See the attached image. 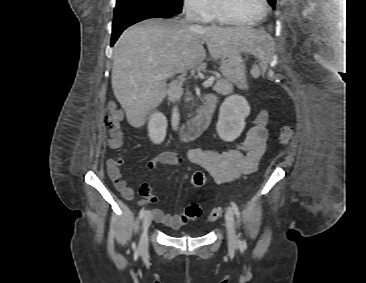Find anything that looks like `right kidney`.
Returning a JSON list of instances; mask_svg holds the SVG:
<instances>
[{
  "label": "right kidney",
  "mask_w": 366,
  "mask_h": 283,
  "mask_svg": "<svg viewBox=\"0 0 366 283\" xmlns=\"http://www.w3.org/2000/svg\"><path fill=\"white\" fill-rule=\"evenodd\" d=\"M167 129V119L166 116L155 111L151 114L148 122V132L150 140L155 144H160L164 141Z\"/></svg>",
  "instance_id": "ca27d5eb"
}]
</instances>
